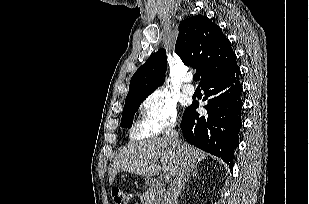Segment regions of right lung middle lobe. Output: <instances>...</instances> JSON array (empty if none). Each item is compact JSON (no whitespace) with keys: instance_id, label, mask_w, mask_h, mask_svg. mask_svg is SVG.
Listing matches in <instances>:
<instances>
[{"instance_id":"right-lung-middle-lobe-1","label":"right lung middle lobe","mask_w":309,"mask_h":204,"mask_svg":"<svg viewBox=\"0 0 309 204\" xmlns=\"http://www.w3.org/2000/svg\"><path fill=\"white\" fill-rule=\"evenodd\" d=\"M144 99L145 98H138L125 101L121 120V127H131L134 114Z\"/></svg>"}]
</instances>
